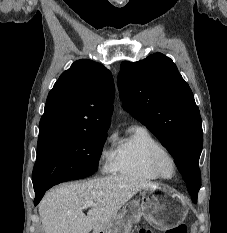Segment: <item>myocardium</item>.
Wrapping results in <instances>:
<instances>
[{
	"label": "myocardium",
	"instance_id": "myocardium-1",
	"mask_svg": "<svg viewBox=\"0 0 227 233\" xmlns=\"http://www.w3.org/2000/svg\"><path fill=\"white\" fill-rule=\"evenodd\" d=\"M168 159L172 166V171L170 174H166L163 171V160ZM150 166L154 174L163 180L173 179L177 174V161L176 158L167 150L156 152L150 160Z\"/></svg>",
	"mask_w": 227,
	"mask_h": 233
}]
</instances>
